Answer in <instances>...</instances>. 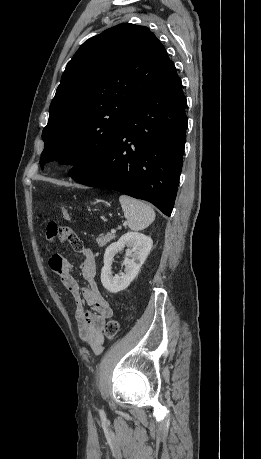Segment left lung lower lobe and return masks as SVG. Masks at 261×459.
<instances>
[{"instance_id": "1", "label": "left lung lower lobe", "mask_w": 261, "mask_h": 459, "mask_svg": "<svg viewBox=\"0 0 261 459\" xmlns=\"http://www.w3.org/2000/svg\"><path fill=\"white\" fill-rule=\"evenodd\" d=\"M186 98L175 66L136 107L97 168L72 178L151 202L170 216L182 169Z\"/></svg>"}]
</instances>
